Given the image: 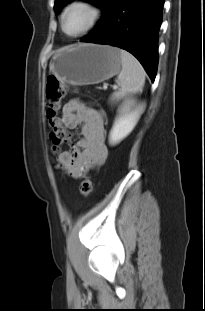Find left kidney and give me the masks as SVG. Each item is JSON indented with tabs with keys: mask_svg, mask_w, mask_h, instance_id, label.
Wrapping results in <instances>:
<instances>
[{
	"mask_svg": "<svg viewBox=\"0 0 205 311\" xmlns=\"http://www.w3.org/2000/svg\"><path fill=\"white\" fill-rule=\"evenodd\" d=\"M144 108V104L138 105L135 109H131L128 105L119 112L109 135L111 145L119 143L132 132Z\"/></svg>",
	"mask_w": 205,
	"mask_h": 311,
	"instance_id": "obj_1",
	"label": "left kidney"
}]
</instances>
